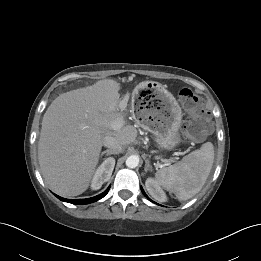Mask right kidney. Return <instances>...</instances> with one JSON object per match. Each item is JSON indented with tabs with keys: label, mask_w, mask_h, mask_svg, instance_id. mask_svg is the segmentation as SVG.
Instances as JSON below:
<instances>
[{
	"label": "right kidney",
	"mask_w": 261,
	"mask_h": 261,
	"mask_svg": "<svg viewBox=\"0 0 261 261\" xmlns=\"http://www.w3.org/2000/svg\"><path fill=\"white\" fill-rule=\"evenodd\" d=\"M115 166V159L110 157L103 161V163L97 168L91 183L92 190H98L102 185L107 182L113 172Z\"/></svg>",
	"instance_id": "1"
}]
</instances>
